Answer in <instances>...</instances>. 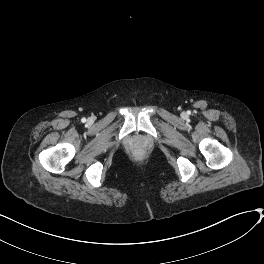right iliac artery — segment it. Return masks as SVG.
I'll list each match as a JSON object with an SVG mask.
<instances>
[{
  "label": "right iliac artery",
  "instance_id": "obj_1",
  "mask_svg": "<svg viewBox=\"0 0 264 264\" xmlns=\"http://www.w3.org/2000/svg\"><path fill=\"white\" fill-rule=\"evenodd\" d=\"M82 122H86V119H85V118H83V119H82Z\"/></svg>",
  "mask_w": 264,
  "mask_h": 264
}]
</instances>
